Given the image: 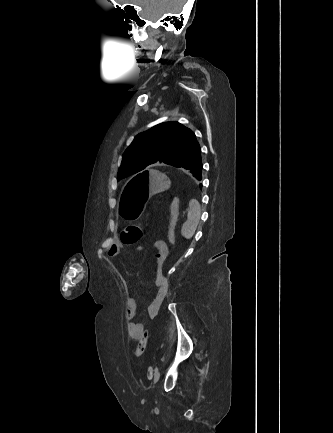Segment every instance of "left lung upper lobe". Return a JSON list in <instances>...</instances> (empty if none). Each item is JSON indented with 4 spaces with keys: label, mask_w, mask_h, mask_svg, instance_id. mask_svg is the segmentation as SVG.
Instances as JSON below:
<instances>
[{
    "label": "left lung upper lobe",
    "mask_w": 333,
    "mask_h": 433,
    "mask_svg": "<svg viewBox=\"0 0 333 433\" xmlns=\"http://www.w3.org/2000/svg\"><path fill=\"white\" fill-rule=\"evenodd\" d=\"M201 152L195 134L178 122H165L137 135L122 157L118 179L151 164L182 168Z\"/></svg>",
    "instance_id": "1"
}]
</instances>
